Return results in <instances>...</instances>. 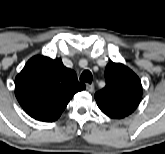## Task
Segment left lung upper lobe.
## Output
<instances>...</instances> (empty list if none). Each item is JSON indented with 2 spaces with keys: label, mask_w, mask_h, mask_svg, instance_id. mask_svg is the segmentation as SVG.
<instances>
[{
  "label": "left lung upper lobe",
  "mask_w": 165,
  "mask_h": 154,
  "mask_svg": "<svg viewBox=\"0 0 165 154\" xmlns=\"http://www.w3.org/2000/svg\"><path fill=\"white\" fill-rule=\"evenodd\" d=\"M105 80L106 86L94 96L101 111L115 119L131 114L142 96L139 77L125 65L110 61L105 69Z\"/></svg>",
  "instance_id": "obj_1"
}]
</instances>
